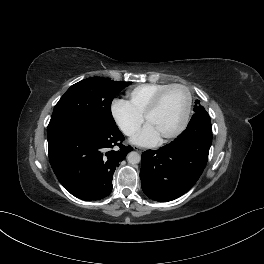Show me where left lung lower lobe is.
Wrapping results in <instances>:
<instances>
[{
    "instance_id": "left-lung-lower-lobe-1",
    "label": "left lung lower lobe",
    "mask_w": 264,
    "mask_h": 264,
    "mask_svg": "<svg viewBox=\"0 0 264 264\" xmlns=\"http://www.w3.org/2000/svg\"><path fill=\"white\" fill-rule=\"evenodd\" d=\"M186 130L159 150L142 154L140 178L143 192L165 202L186 193L199 179L212 144L210 116L202 106L194 107Z\"/></svg>"
}]
</instances>
